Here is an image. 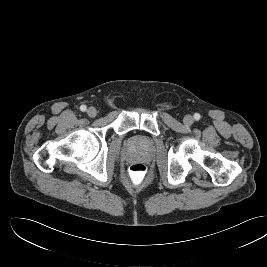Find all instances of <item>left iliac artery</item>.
I'll return each mask as SVG.
<instances>
[{
	"label": "left iliac artery",
	"instance_id": "1",
	"mask_svg": "<svg viewBox=\"0 0 267 267\" xmlns=\"http://www.w3.org/2000/svg\"><path fill=\"white\" fill-rule=\"evenodd\" d=\"M194 118H195V120H199L200 118H201V116H200V114L199 113H196L195 115H194Z\"/></svg>",
	"mask_w": 267,
	"mask_h": 267
}]
</instances>
